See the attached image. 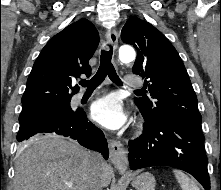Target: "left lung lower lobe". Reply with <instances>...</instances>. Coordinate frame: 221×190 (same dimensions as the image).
Segmentation results:
<instances>
[{"mask_svg":"<svg viewBox=\"0 0 221 190\" xmlns=\"http://www.w3.org/2000/svg\"><path fill=\"white\" fill-rule=\"evenodd\" d=\"M143 117V134L129 142L130 169L158 165L175 167L190 173L205 190H210L202 131L175 118Z\"/></svg>","mask_w":221,"mask_h":190,"instance_id":"obj_1","label":"left lung lower lobe"}]
</instances>
